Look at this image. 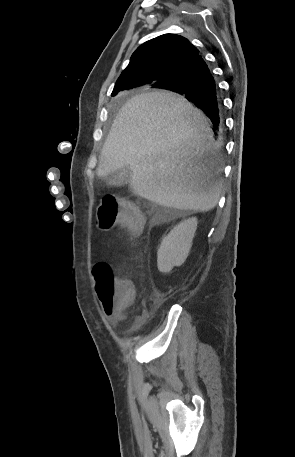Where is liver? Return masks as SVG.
<instances>
[{
	"label": "liver",
	"mask_w": 295,
	"mask_h": 457,
	"mask_svg": "<svg viewBox=\"0 0 295 457\" xmlns=\"http://www.w3.org/2000/svg\"><path fill=\"white\" fill-rule=\"evenodd\" d=\"M212 135L206 116L184 97L163 90L133 96L113 121L97 175L128 167L136 195L163 207L207 212L222 186Z\"/></svg>",
	"instance_id": "1"
}]
</instances>
